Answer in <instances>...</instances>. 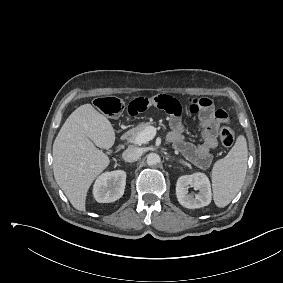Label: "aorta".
Here are the masks:
<instances>
[{
	"mask_svg": "<svg viewBox=\"0 0 283 283\" xmlns=\"http://www.w3.org/2000/svg\"><path fill=\"white\" fill-rule=\"evenodd\" d=\"M161 162V158L158 154L156 153H150L148 156H147V164L148 165H156L158 163Z\"/></svg>",
	"mask_w": 283,
	"mask_h": 283,
	"instance_id": "aorta-1",
	"label": "aorta"
}]
</instances>
